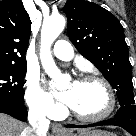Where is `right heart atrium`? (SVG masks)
Segmentation results:
<instances>
[{
	"label": "right heart atrium",
	"instance_id": "obj_1",
	"mask_svg": "<svg viewBox=\"0 0 136 136\" xmlns=\"http://www.w3.org/2000/svg\"><path fill=\"white\" fill-rule=\"evenodd\" d=\"M24 98L29 109L38 115L52 118L61 111L49 93L43 89L39 76L35 73H28L26 76Z\"/></svg>",
	"mask_w": 136,
	"mask_h": 136
}]
</instances>
